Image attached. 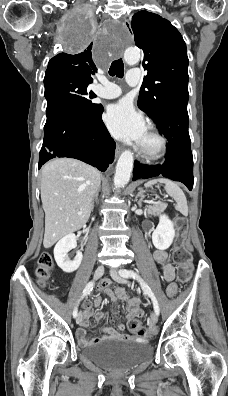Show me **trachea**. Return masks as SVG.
I'll use <instances>...</instances> for the list:
<instances>
[{
    "instance_id": "3493384b",
    "label": "trachea",
    "mask_w": 228,
    "mask_h": 396,
    "mask_svg": "<svg viewBox=\"0 0 228 396\" xmlns=\"http://www.w3.org/2000/svg\"><path fill=\"white\" fill-rule=\"evenodd\" d=\"M109 74L111 76H117L119 78H122L124 75V64L122 59H118L112 62L110 69H109Z\"/></svg>"
}]
</instances>
